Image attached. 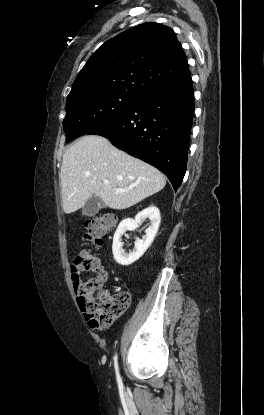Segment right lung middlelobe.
<instances>
[{
	"instance_id": "right-lung-middle-lobe-1",
	"label": "right lung middle lobe",
	"mask_w": 264,
	"mask_h": 415,
	"mask_svg": "<svg viewBox=\"0 0 264 415\" xmlns=\"http://www.w3.org/2000/svg\"><path fill=\"white\" fill-rule=\"evenodd\" d=\"M140 98L131 93L113 91L68 99L63 120L66 142L121 116Z\"/></svg>"
}]
</instances>
